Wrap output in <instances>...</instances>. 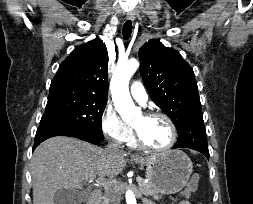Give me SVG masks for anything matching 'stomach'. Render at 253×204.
<instances>
[{
  "mask_svg": "<svg viewBox=\"0 0 253 204\" xmlns=\"http://www.w3.org/2000/svg\"><path fill=\"white\" fill-rule=\"evenodd\" d=\"M133 160L146 167V177L158 190L153 196L155 199L161 198L160 195L181 191L193 172L190 158L180 150H170L146 157L137 156Z\"/></svg>",
  "mask_w": 253,
  "mask_h": 204,
  "instance_id": "stomach-1",
  "label": "stomach"
}]
</instances>
